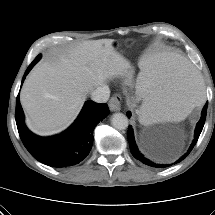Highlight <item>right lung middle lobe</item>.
<instances>
[{"mask_svg": "<svg viewBox=\"0 0 215 215\" xmlns=\"http://www.w3.org/2000/svg\"><path fill=\"white\" fill-rule=\"evenodd\" d=\"M41 58V55H38L35 60L32 62L31 65H34L39 59Z\"/></svg>", "mask_w": 215, "mask_h": 215, "instance_id": "dd1d6c3e", "label": "right lung middle lobe"}]
</instances>
